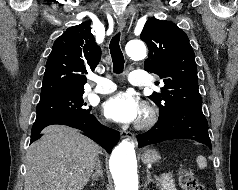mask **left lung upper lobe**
<instances>
[{"instance_id": "obj_1", "label": "left lung upper lobe", "mask_w": 238, "mask_h": 190, "mask_svg": "<svg viewBox=\"0 0 238 190\" xmlns=\"http://www.w3.org/2000/svg\"><path fill=\"white\" fill-rule=\"evenodd\" d=\"M140 38L149 48L144 69L163 79L161 93L149 96L159 114L177 107H202L195 55L186 33L173 22L151 18Z\"/></svg>"}]
</instances>
